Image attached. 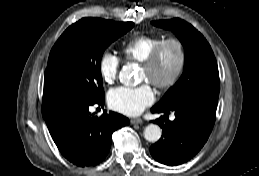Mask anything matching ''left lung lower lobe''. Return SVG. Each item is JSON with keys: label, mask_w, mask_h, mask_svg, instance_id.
<instances>
[{"label": "left lung lower lobe", "mask_w": 259, "mask_h": 176, "mask_svg": "<svg viewBox=\"0 0 259 176\" xmlns=\"http://www.w3.org/2000/svg\"><path fill=\"white\" fill-rule=\"evenodd\" d=\"M152 113H164L154 122L162 128V137L150 147L153 158L169 166L187 162L206 143L215 122L216 107L188 102L172 109L154 106ZM175 113V120L169 121L168 114Z\"/></svg>", "instance_id": "1"}]
</instances>
